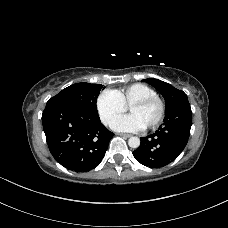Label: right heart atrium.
I'll return each mask as SVG.
<instances>
[{
    "label": "right heart atrium",
    "mask_w": 228,
    "mask_h": 228,
    "mask_svg": "<svg viewBox=\"0 0 228 228\" xmlns=\"http://www.w3.org/2000/svg\"><path fill=\"white\" fill-rule=\"evenodd\" d=\"M96 109L101 121L110 125L111 122L126 110V106L121 102L114 90H103L96 99Z\"/></svg>",
    "instance_id": "right-heart-atrium-1"
}]
</instances>
